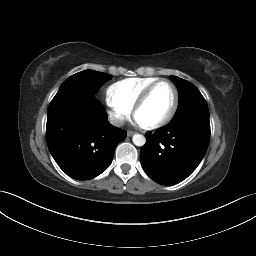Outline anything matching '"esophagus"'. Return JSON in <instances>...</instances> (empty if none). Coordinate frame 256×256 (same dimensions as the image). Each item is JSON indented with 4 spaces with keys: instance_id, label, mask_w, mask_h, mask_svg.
Returning <instances> with one entry per match:
<instances>
[{
    "instance_id": "1",
    "label": "esophagus",
    "mask_w": 256,
    "mask_h": 256,
    "mask_svg": "<svg viewBox=\"0 0 256 256\" xmlns=\"http://www.w3.org/2000/svg\"><path fill=\"white\" fill-rule=\"evenodd\" d=\"M134 133H135L134 131H130V130H129V131H127V136L130 137V136H132Z\"/></svg>"
}]
</instances>
